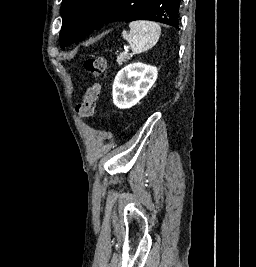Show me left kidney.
<instances>
[{
  "mask_svg": "<svg viewBox=\"0 0 256 267\" xmlns=\"http://www.w3.org/2000/svg\"><path fill=\"white\" fill-rule=\"evenodd\" d=\"M157 68L141 62L128 64L118 72L113 84V102L117 108H132L156 82Z\"/></svg>",
  "mask_w": 256,
  "mask_h": 267,
  "instance_id": "left-kidney-1",
  "label": "left kidney"
}]
</instances>
